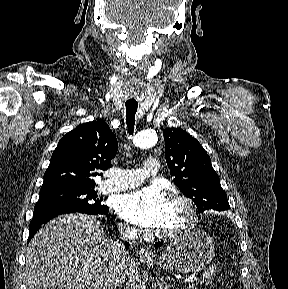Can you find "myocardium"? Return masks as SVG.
Listing matches in <instances>:
<instances>
[{
	"mask_svg": "<svg viewBox=\"0 0 288 289\" xmlns=\"http://www.w3.org/2000/svg\"><path fill=\"white\" fill-rule=\"evenodd\" d=\"M170 202L179 203L184 209V221L175 228H167L165 233L170 237H180L192 231L196 225V205L188 196L181 193H173L169 196Z\"/></svg>",
	"mask_w": 288,
	"mask_h": 289,
	"instance_id": "f54148a6",
	"label": "myocardium"
}]
</instances>
